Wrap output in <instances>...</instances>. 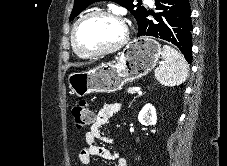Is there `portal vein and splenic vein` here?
Instances as JSON below:
<instances>
[{
	"mask_svg": "<svg viewBox=\"0 0 227 166\" xmlns=\"http://www.w3.org/2000/svg\"><path fill=\"white\" fill-rule=\"evenodd\" d=\"M133 91H134V92H139V91H140V87H135V88L133 89Z\"/></svg>",
	"mask_w": 227,
	"mask_h": 166,
	"instance_id": "portal-vein-and-splenic-vein-1",
	"label": "portal vein and splenic vein"
}]
</instances>
